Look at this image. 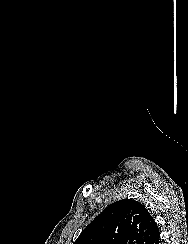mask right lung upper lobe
<instances>
[{
	"label": "right lung upper lobe",
	"instance_id": "obj_1",
	"mask_svg": "<svg viewBox=\"0 0 188 244\" xmlns=\"http://www.w3.org/2000/svg\"><path fill=\"white\" fill-rule=\"evenodd\" d=\"M158 233L157 223L143 204L123 199L101 212L74 244H149Z\"/></svg>",
	"mask_w": 188,
	"mask_h": 244
}]
</instances>
